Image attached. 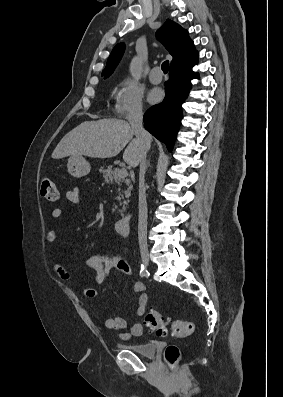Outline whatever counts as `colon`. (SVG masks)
Returning <instances> with one entry per match:
<instances>
[{
	"label": "colon",
	"mask_w": 283,
	"mask_h": 397,
	"mask_svg": "<svg viewBox=\"0 0 283 397\" xmlns=\"http://www.w3.org/2000/svg\"><path fill=\"white\" fill-rule=\"evenodd\" d=\"M40 194L49 202H57L59 193L55 183L48 177H44L40 182ZM146 324L150 330L158 335H165L168 326L176 337H188L194 332V324L188 320L175 319L166 316L156 309H150L146 314ZM180 358V350L175 345H169L164 351V359L170 368H173Z\"/></svg>",
	"instance_id": "colon-1"
}]
</instances>
